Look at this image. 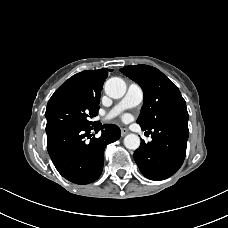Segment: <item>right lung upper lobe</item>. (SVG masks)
<instances>
[{
	"label": "right lung upper lobe",
	"instance_id": "right-lung-upper-lobe-1",
	"mask_svg": "<svg viewBox=\"0 0 228 228\" xmlns=\"http://www.w3.org/2000/svg\"><path fill=\"white\" fill-rule=\"evenodd\" d=\"M107 76L108 69L86 70L75 74L65 84L72 85L83 95L100 98Z\"/></svg>",
	"mask_w": 228,
	"mask_h": 228
}]
</instances>
